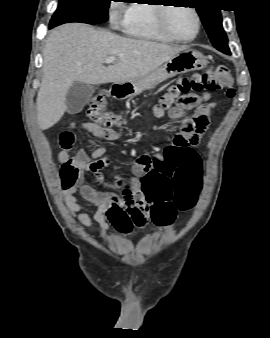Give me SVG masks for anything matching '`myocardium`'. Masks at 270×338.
<instances>
[{
	"label": "myocardium",
	"mask_w": 270,
	"mask_h": 338,
	"mask_svg": "<svg viewBox=\"0 0 270 338\" xmlns=\"http://www.w3.org/2000/svg\"><path fill=\"white\" fill-rule=\"evenodd\" d=\"M158 6H161V7H157V26L159 30L161 31V33H163L168 39L174 42L187 43V42L193 41L198 36L200 32L201 19L195 8L185 7L191 10L196 18V30H195L194 35L189 38H178L171 32L169 25H168V12L171 8L175 6H171V7H165L168 5H158Z\"/></svg>",
	"instance_id": "1"
}]
</instances>
